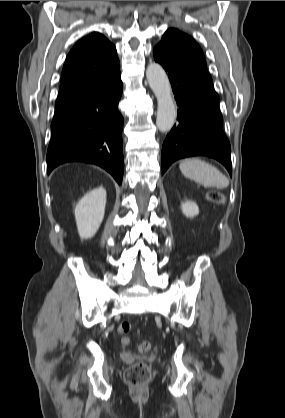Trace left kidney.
I'll use <instances>...</instances> for the list:
<instances>
[{"instance_id":"1","label":"left kidney","mask_w":285,"mask_h":418,"mask_svg":"<svg viewBox=\"0 0 285 418\" xmlns=\"http://www.w3.org/2000/svg\"><path fill=\"white\" fill-rule=\"evenodd\" d=\"M181 209L186 217H194L199 214L198 206L193 201H185L181 204Z\"/></svg>"}]
</instances>
